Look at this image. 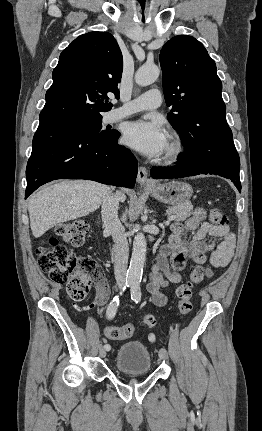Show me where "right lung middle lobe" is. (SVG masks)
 I'll list each match as a JSON object with an SVG mask.
<instances>
[{"label":"right lung middle lobe","instance_id":"1","mask_svg":"<svg viewBox=\"0 0 262 431\" xmlns=\"http://www.w3.org/2000/svg\"><path fill=\"white\" fill-rule=\"evenodd\" d=\"M102 116L93 117V118H83V119H73L61 124L68 125L79 130L86 132L89 135H97L100 137H109L115 134V131H105L101 130Z\"/></svg>","mask_w":262,"mask_h":431}]
</instances>
